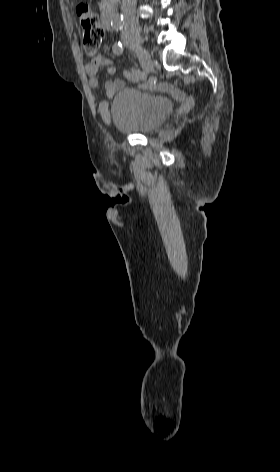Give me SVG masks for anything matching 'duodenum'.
Segmentation results:
<instances>
[{
    "label": "duodenum",
    "mask_w": 280,
    "mask_h": 472,
    "mask_svg": "<svg viewBox=\"0 0 280 472\" xmlns=\"http://www.w3.org/2000/svg\"><path fill=\"white\" fill-rule=\"evenodd\" d=\"M116 0H111V2L105 7L102 17V22L104 27L107 30L112 28L115 12H116Z\"/></svg>",
    "instance_id": "410a0bca"
}]
</instances>
